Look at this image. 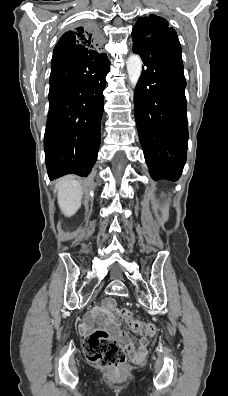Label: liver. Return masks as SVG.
<instances>
[{"mask_svg":"<svg viewBox=\"0 0 228 396\" xmlns=\"http://www.w3.org/2000/svg\"><path fill=\"white\" fill-rule=\"evenodd\" d=\"M58 204L61 212L73 216L81 206L82 188L78 181L72 178H63L57 184Z\"/></svg>","mask_w":228,"mask_h":396,"instance_id":"liver-1","label":"liver"}]
</instances>
